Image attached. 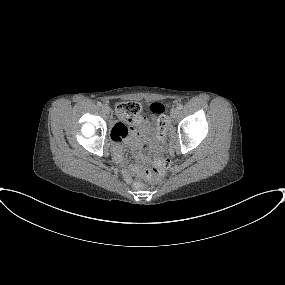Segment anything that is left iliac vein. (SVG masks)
I'll use <instances>...</instances> for the list:
<instances>
[{"label":"left iliac vein","mask_w":285,"mask_h":285,"mask_svg":"<svg viewBox=\"0 0 285 285\" xmlns=\"http://www.w3.org/2000/svg\"><path fill=\"white\" fill-rule=\"evenodd\" d=\"M179 113H180V110H179V108H173L172 110H171V118L172 119H175V118H177L178 117V115H179Z\"/></svg>","instance_id":"left-iliac-vein-1"}]
</instances>
